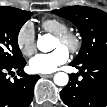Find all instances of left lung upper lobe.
<instances>
[{
  "mask_svg": "<svg viewBox=\"0 0 107 107\" xmlns=\"http://www.w3.org/2000/svg\"><path fill=\"white\" fill-rule=\"evenodd\" d=\"M54 14L72 21L82 36V47L73 63L81 64L107 54V13L86 6L64 7Z\"/></svg>",
  "mask_w": 107,
  "mask_h": 107,
  "instance_id": "5c2ea615",
  "label": "left lung upper lobe"
}]
</instances>
